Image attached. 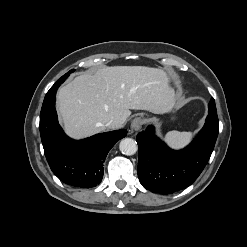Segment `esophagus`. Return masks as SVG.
Wrapping results in <instances>:
<instances>
[{"label": "esophagus", "instance_id": "esophagus-1", "mask_svg": "<svg viewBox=\"0 0 247 247\" xmlns=\"http://www.w3.org/2000/svg\"><path fill=\"white\" fill-rule=\"evenodd\" d=\"M144 119L142 117H136L132 123H131V129L132 131H138L141 129V127L143 126L144 124Z\"/></svg>", "mask_w": 247, "mask_h": 247}]
</instances>
